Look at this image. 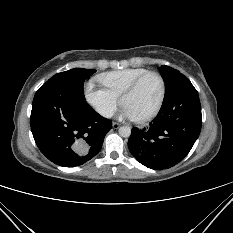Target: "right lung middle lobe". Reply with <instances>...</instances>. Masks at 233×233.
Masks as SVG:
<instances>
[{
  "label": "right lung middle lobe",
  "mask_w": 233,
  "mask_h": 233,
  "mask_svg": "<svg viewBox=\"0 0 233 233\" xmlns=\"http://www.w3.org/2000/svg\"><path fill=\"white\" fill-rule=\"evenodd\" d=\"M95 72L96 70L74 68L54 75L47 82H56L60 84H65L84 91L83 90L84 81Z\"/></svg>",
  "instance_id": "dd1d6c3e"
}]
</instances>
